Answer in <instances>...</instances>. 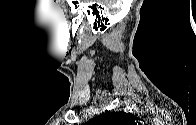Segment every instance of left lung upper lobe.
<instances>
[{"mask_svg":"<svg viewBox=\"0 0 196 125\" xmlns=\"http://www.w3.org/2000/svg\"><path fill=\"white\" fill-rule=\"evenodd\" d=\"M90 122L93 125H135L134 118L125 112H106Z\"/></svg>","mask_w":196,"mask_h":125,"instance_id":"left-lung-upper-lobe-1","label":"left lung upper lobe"}]
</instances>
